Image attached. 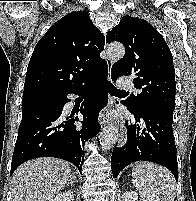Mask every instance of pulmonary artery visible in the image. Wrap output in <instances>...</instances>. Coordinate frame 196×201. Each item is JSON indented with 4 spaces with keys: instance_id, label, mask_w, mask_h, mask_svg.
Returning <instances> with one entry per match:
<instances>
[{
    "instance_id": "1",
    "label": "pulmonary artery",
    "mask_w": 196,
    "mask_h": 201,
    "mask_svg": "<svg viewBox=\"0 0 196 201\" xmlns=\"http://www.w3.org/2000/svg\"><path fill=\"white\" fill-rule=\"evenodd\" d=\"M117 87L120 88V89H129V90H134V91H137L134 86H133V83L130 79L128 78H121L118 80L117 82Z\"/></svg>"
}]
</instances>
